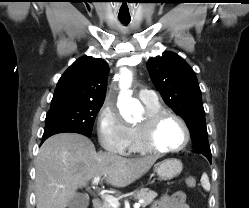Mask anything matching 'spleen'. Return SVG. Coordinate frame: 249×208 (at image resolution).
<instances>
[{
    "instance_id": "3e777b00",
    "label": "spleen",
    "mask_w": 249,
    "mask_h": 208,
    "mask_svg": "<svg viewBox=\"0 0 249 208\" xmlns=\"http://www.w3.org/2000/svg\"><path fill=\"white\" fill-rule=\"evenodd\" d=\"M201 185L204 188V190L210 191V182H209L208 175L206 173H203L201 177Z\"/></svg>"
}]
</instances>
